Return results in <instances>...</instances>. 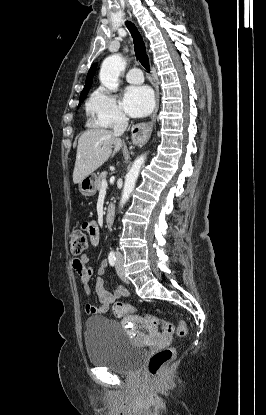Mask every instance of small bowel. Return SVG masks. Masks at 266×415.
I'll return each instance as SVG.
<instances>
[{
  "label": "small bowel",
  "instance_id": "c3829d8e",
  "mask_svg": "<svg viewBox=\"0 0 266 415\" xmlns=\"http://www.w3.org/2000/svg\"><path fill=\"white\" fill-rule=\"evenodd\" d=\"M83 229L88 233L90 242L93 246L99 244L100 233L99 227L95 220L85 222ZM90 258L86 254H82L78 258L72 260V267L81 278L84 291L87 295L90 294V281L93 277V269L88 267ZM108 269V262L103 260L97 270L98 277L95 280V292L97 295V304H86L85 311L87 314H105L109 311L113 303L124 296L128 295V291L122 286H116L113 292L105 288L103 275Z\"/></svg>",
  "mask_w": 266,
  "mask_h": 415
}]
</instances>
